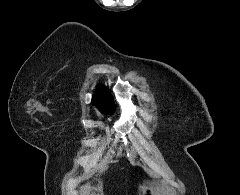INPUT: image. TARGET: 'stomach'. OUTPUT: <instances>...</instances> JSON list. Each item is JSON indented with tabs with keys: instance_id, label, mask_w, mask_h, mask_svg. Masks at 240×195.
Segmentation results:
<instances>
[{
	"instance_id": "obj_1",
	"label": "stomach",
	"mask_w": 240,
	"mask_h": 195,
	"mask_svg": "<svg viewBox=\"0 0 240 195\" xmlns=\"http://www.w3.org/2000/svg\"><path fill=\"white\" fill-rule=\"evenodd\" d=\"M145 187H141L140 195H149L152 187H154V181H145Z\"/></svg>"
}]
</instances>
